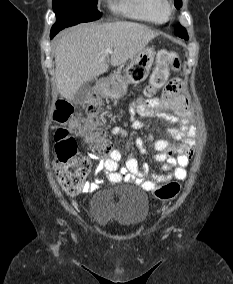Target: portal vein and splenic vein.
I'll use <instances>...</instances> for the list:
<instances>
[{
    "instance_id": "18ae733b",
    "label": "portal vein and splenic vein",
    "mask_w": 233,
    "mask_h": 284,
    "mask_svg": "<svg viewBox=\"0 0 233 284\" xmlns=\"http://www.w3.org/2000/svg\"><path fill=\"white\" fill-rule=\"evenodd\" d=\"M105 52H106V53H112V49H111V48H107V49L105 50Z\"/></svg>"
}]
</instances>
